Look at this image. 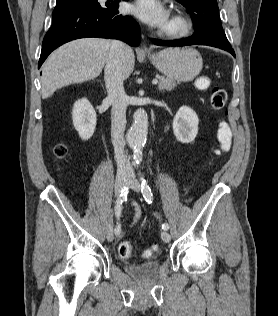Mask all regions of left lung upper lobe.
<instances>
[{
  "mask_svg": "<svg viewBox=\"0 0 278 316\" xmlns=\"http://www.w3.org/2000/svg\"><path fill=\"white\" fill-rule=\"evenodd\" d=\"M190 13L195 24V33L192 37L231 47L222 28L218 4L216 0H177Z\"/></svg>",
  "mask_w": 278,
  "mask_h": 316,
  "instance_id": "left-lung-upper-lobe-1",
  "label": "left lung upper lobe"
}]
</instances>
